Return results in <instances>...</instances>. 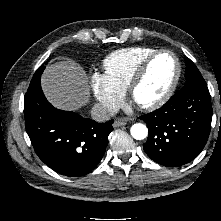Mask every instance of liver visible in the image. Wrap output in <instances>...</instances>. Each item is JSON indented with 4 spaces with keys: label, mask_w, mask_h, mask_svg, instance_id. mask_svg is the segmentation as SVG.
<instances>
[{
    "label": "liver",
    "mask_w": 221,
    "mask_h": 221,
    "mask_svg": "<svg viewBox=\"0 0 221 221\" xmlns=\"http://www.w3.org/2000/svg\"><path fill=\"white\" fill-rule=\"evenodd\" d=\"M41 87L47 100L57 109L77 111L89 100L88 77L73 60H63L46 67Z\"/></svg>",
    "instance_id": "1"
}]
</instances>
